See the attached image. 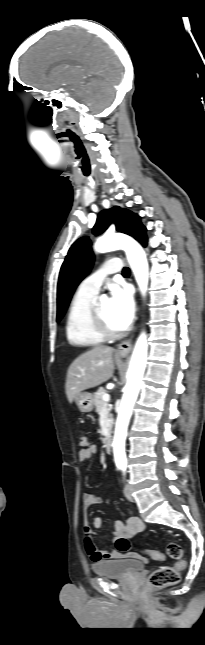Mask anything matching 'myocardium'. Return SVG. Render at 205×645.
<instances>
[{
	"label": "myocardium",
	"mask_w": 205,
	"mask_h": 645,
	"mask_svg": "<svg viewBox=\"0 0 205 645\" xmlns=\"http://www.w3.org/2000/svg\"><path fill=\"white\" fill-rule=\"evenodd\" d=\"M91 321L94 329L105 339L118 338L123 334L121 330H114L107 324L99 309V303L92 306Z\"/></svg>",
	"instance_id": "obj_1"
}]
</instances>
